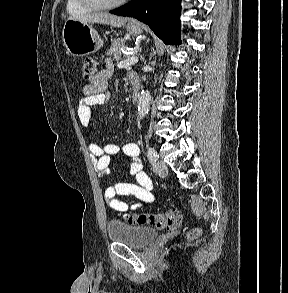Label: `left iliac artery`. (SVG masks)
Masks as SVG:
<instances>
[{"label": "left iliac artery", "instance_id": "1", "mask_svg": "<svg viewBox=\"0 0 288 293\" xmlns=\"http://www.w3.org/2000/svg\"><path fill=\"white\" fill-rule=\"evenodd\" d=\"M147 156H148V158H149V160H150L151 163H156V161L159 158L157 152L152 147L148 148V150H147Z\"/></svg>", "mask_w": 288, "mask_h": 293}]
</instances>
